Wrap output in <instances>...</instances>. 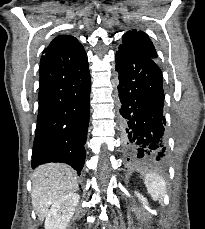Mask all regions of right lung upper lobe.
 Here are the masks:
<instances>
[{
	"mask_svg": "<svg viewBox=\"0 0 205 229\" xmlns=\"http://www.w3.org/2000/svg\"><path fill=\"white\" fill-rule=\"evenodd\" d=\"M50 48L57 51L58 58L64 62L65 66L68 68H79L88 62L87 55L82 44L73 36H57L50 45L44 49L43 53L45 54V52Z\"/></svg>",
	"mask_w": 205,
	"mask_h": 229,
	"instance_id": "cb5924a9",
	"label": "right lung upper lobe"
}]
</instances>
